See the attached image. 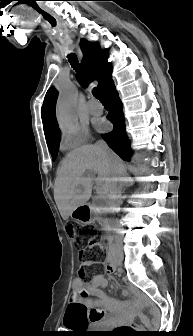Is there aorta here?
Returning a JSON list of instances; mask_svg holds the SVG:
<instances>
[{"label": "aorta", "mask_w": 193, "mask_h": 336, "mask_svg": "<svg viewBox=\"0 0 193 336\" xmlns=\"http://www.w3.org/2000/svg\"><path fill=\"white\" fill-rule=\"evenodd\" d=\"M76 103V86L71 82L63 83L56 104V118L59 127L63 131L75 130L79 125L76 113Z\"/></svg>", "instance_id": "1"}]
</instances>
